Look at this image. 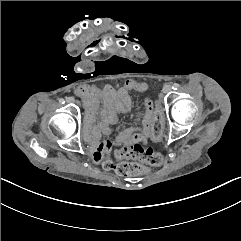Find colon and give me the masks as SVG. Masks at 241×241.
<instances>
[{
    "label": "colon",
    "instance_id": "colon-1",
    "mask_svg": "<svg viewBox=\"0 0 241 241\" xmlns=\"http://www.w3.org/2000/svg\"><path fill=\"white\" fill-rule=\"evenodd\" d=\"M137 92L140 95H147L150 92V85L147 82H140L137 85ZM162 131H163V121H162V115L160 112L156 113L155 122L152 129V139L155 141H158L162 137ZM103 158V156H101ZM115 158L117 160L120 159H141L147 164L150 165H160L163 162V157L158 154L156 151H154L151 147H148L146 145H143L141 143H135L133 145H128L123 148L122 153H115ZM109 160V159H108ZM111 168H114L116 173H120L123 176H130L134 174H144L146 170L148 169L146 166L143 165H136L132 163H125L120 162L119 165L116 164H110ZM109 165L103 166L104 172L110 171Z\"/></svg>",
    "mask_w": 241,
    "mask_h": 241
}]
</instances>
